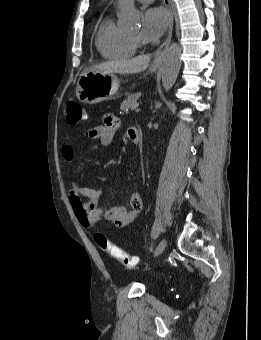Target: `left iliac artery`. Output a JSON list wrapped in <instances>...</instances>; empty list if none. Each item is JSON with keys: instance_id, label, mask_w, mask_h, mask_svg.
Here are the masks:
<instances>
[{"instance_id": "left-iliac-artery-1", "label": "left iliac artery", "mask_w": 261, "mask_h": 340, "mask_svg": "<svg viewBox=\"0 0 261 340\" xmlns=\"http://www.w3.org/2000/svg\"><path fill=\"white\" fill-rule=\"evenodd\" d=\"M158 236H159V231H153L151 233V237H152L153 240H156L158 238Z\"/></svg>"}]
</instances>
